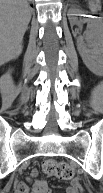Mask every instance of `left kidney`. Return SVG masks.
Listing matches in <instances>:
<instances>
[{
  "label": "left kidney",
  "mask_w": 103,
  "mask_h": 193,
  "mask_svg": "<svg viewBox=\"0 0 103 193\" xmlns=\"http://www.w3.org/2000/svg\"><path fill=\"white\" fill-rule=\"evenodd\" d=\"M70 24L76 22V16H84L81 9L72 8L68 11ZM94 19L85 20L89 23L88 44L84 43V38H77L78 51L86 67L95 75H101L103 72V29L102 23L94 16H87ZM76 35V33H74Z\"/></svg>",
  "instance_id": "obj_1"
}]
</instances>
